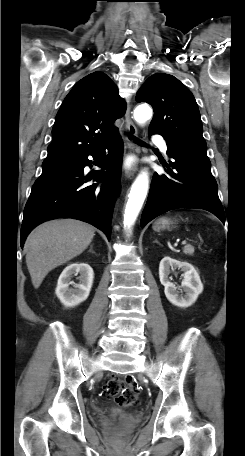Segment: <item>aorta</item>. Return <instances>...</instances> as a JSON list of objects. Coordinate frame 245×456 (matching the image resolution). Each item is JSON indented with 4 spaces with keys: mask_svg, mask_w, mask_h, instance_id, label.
<instances>
[{
    "mask_svg": "<svg viewBox=\"0 0 245 456\" xmlns=\"http://www.w3.org/2000/svg\"><path fill=\"white\" fill-rule=\"evenodd\" d=\"M153 111L148 104H141L134 110L135 120L143 124L151 119ZM149 187V175L146 171H141L131 186L128 201L124 214V226L127 231H131L138 214L142 208Z\"/></svg>",
    "mask_w": 245,
    "mask_h": 456,
    "instance_id": "obj_1",
    "label": "aorta"
}]
</instances>
